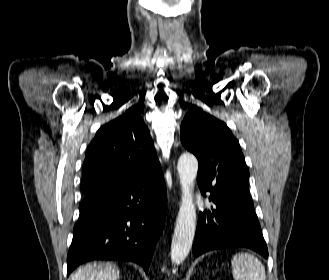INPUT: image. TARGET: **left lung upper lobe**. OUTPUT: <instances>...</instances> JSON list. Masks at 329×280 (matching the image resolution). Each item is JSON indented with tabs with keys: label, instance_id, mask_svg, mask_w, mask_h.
I'll use <instances>...</instances> for the list:
<instances>
[{
	"label": "left lung upper lobe",
	"instance_id": "1",
	"mask_svg": "<svg viewBox=\"0 0 329 280\" xmlns=\"http://www.w3.org/2000/svg\"><path fill=\"white\" fill-rule=\"evenodd\" d=\"M180 134L182 144L198 159L201 191L221 195L248 186L240 145L224 122L195 109L184 117Z\"/></svg>",
	"mask_w": 329,
	"mask_h": 280
}]
</instances>
